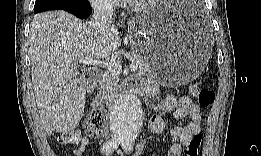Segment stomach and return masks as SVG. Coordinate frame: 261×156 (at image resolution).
<instances>
[{
  "instance_id": "obj_1",
  "label": "stomach",
  "mask_w": 261,
  "mask_h": 156,
  "mask_svg": "<svg viewBox=\"0 0 261 156\" xmlns=\"http://www.w3.org/2000/svg\"><path fill=\"white\" fill-rule=\"evenodd\" d=\"M188 6L187 2H157L131 20L132 46L146 57L154 77L162 83H188L209 60L211 36L185 17Z\"/></svg>"
}]
</instances>
